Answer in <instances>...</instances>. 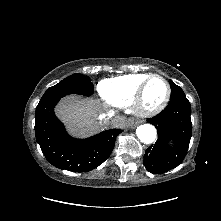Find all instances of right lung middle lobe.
Wrapping results in <instances>:
<instances>
[{
    "instance_id": "1",
    "label": "right lung middle lobe",
    "mask_w": 221,
    "mask_h": 221,
    "mask_svg": "<svg viewBox=\"0 0 221 221\" xmlns=\"http://www.w3.org/2000/svg\"><path fill=\"white\" fill-rule=\"evenodd\" d=\"M93 89V83H91L88 77L82 74H73L50 87L44 93L41 100L55 96H65L67 94L90 96L93 94Z\"/></svg>"
}]
</instances>
